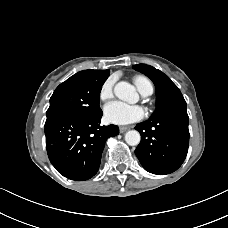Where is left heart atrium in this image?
<instances>
[{"label":"left heart atrium","instance_id":"39dd6f15","mask_svg":"<svg viewBox=\"0 0 228 228\" xmlns=\"http://www.w3.org/2000/svg\"><path fill=\"white\" fill-rule=\"evenodd\" d=\"M145 115L142 107L113 101L104 107V117L109 123L127 125L141 120Z\"/></svg>","mask_w":228,"mask_h":228}]
</instances>
